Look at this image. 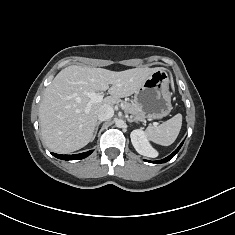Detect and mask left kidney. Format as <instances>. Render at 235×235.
<instances>
[{
  "label": "left kidney",
  "mask_w": 235,
  "mask_h": 235,
  "mask_svg": "<svg viewBox=\"0 0 235 235\" xmlns=\"http://www.w3.org/2000/svg\"><path fill=\"white\" fill-rule=\"evenodd\" d=\"M132 145L135 150L146 157L155 158L158 152L150 145L147 135L140 129L133 130L130 134Z\"/></svg>",
  "instance_id": "left-kidney-1"
}]
</instances>
